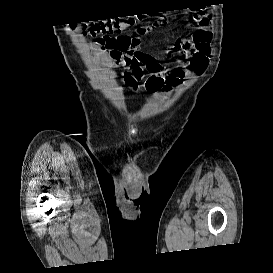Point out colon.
Segmentation results:
<instances>
[{
  "instance_id": "1",
  "label": "colon",
  "mask_w": 273,
  "mask_h": 273,
  "mask_svg": "<svg viewBox=\"0 0 273 273\" xmlns=\"http://www.w3.org/2000/svg\"><path fill=\"white\" fill-rule=\"evenodd\" d=\"M159 22L154 23L157 25ZM136 25V18L134 17H125L113 20L98 21L87 24L85 30L91 35H112L116 33H121L127 29L134 27ZM146 28L138 27L136 29L137 34L144 33ZM140 39L137 36H130V45L138 46Z\"/></svg>"
}]
</instances>
